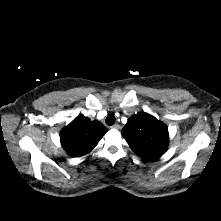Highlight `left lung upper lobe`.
Here are the masks:
<instances>
[{"label":"left lung upper lobe","mask_w":221,"mask_h":221,"mask_svg":"<svg viewBox=\"0 0 221 221\" xmlns=\"http://www.w3.org/2000/svg\"><path fill=\"white\" fill-rule=\"evenodd\" d=\"M121 134L131 149L146 161L159 158L168 147L167 126L145 112L131 116Z\"/></svg>","instance_id":"1"}]
</instances>
